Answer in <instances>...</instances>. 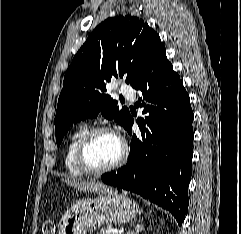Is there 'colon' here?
<instances>
[{"mask_svg": "<svg viewBox=\"0 0 241 234\" xmlns=\"http://www.w3.org/2000/svg\"><path fill=\"white\" fill-rule=\"evenodd\" d=\"M54 224L51 221H46L42 227L43 234H54Z\"/></svg>", "mask_w": 241, "mask_h": 234, "instance_id": "1", "label": "colon"}]
</instances>
